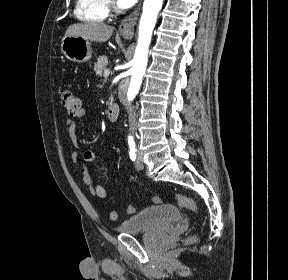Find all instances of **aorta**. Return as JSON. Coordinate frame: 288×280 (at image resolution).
Wrapping results in <instances>:
<instances>
[{
  "label": "aorta",
  "mask_w": 288,
  "mask_h": 280,
  "mask_svg": "<svg viewBox=\"0 0 288 280\" xmlns=\"http://www.w3.org/2000/svg\"><path fill=\"white\" fill-rule=\"evenodd\" d=\"M163 0H144L143 12L139 23L138 42L133 58L131 69V81L127 92V101L134 100L139 92L143 76L145 74L148 51L152 32L155 27L157 16L162 8ZM128 136H131V126H128Z\"/></svg>",
  "instance_id": "762f6f07"
}]
</instances>
